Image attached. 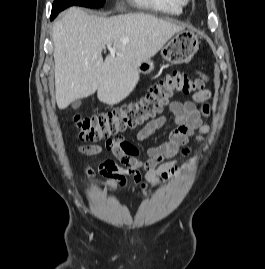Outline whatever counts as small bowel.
Masks as SVG:
<instances>
[{
  "label": "small bowel",
  "mask_w": 265,
  "mask_h": 269,
  "mask_svg": "<svg viewBox=\"0 0 265 269\" xmlns=\"http://www.w3.org/2000/svg\"><path fill=\"white\" fill-rule=\"evenodd\" d=\"M211 97V90L201 89L193 94L191 100L172 101L168 105L171 112L169 115L151 120L138 131L136 138L143 143L160 129L173 125L168 140L161 145L139 147L124 137L117 136L108 140L104 146H81L80 152L86 155L95 156L106 151L122 165L108 158L98 167L100 174L107 178L105 182L101 183L95 178L91 167L85 169L87 178L105 190L124 189L128 184L127 175H132L134 182L139 183L142 180V171L145 180L152 184L173 179L178 175V155L188 156L191 152V137L196 131L205 133L208 130L202 122V115L209 113L208 101ZM198 105H201L200 109ZM142 153L148 156L146 160L138 158Z\"/></svg>",
  "instance_id": "obj_1"
}]
</instances>
